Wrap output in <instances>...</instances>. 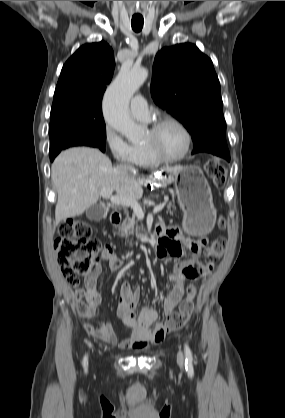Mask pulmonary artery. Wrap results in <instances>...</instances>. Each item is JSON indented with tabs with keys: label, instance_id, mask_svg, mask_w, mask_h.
Segmentation results:
<instances>
[{
	"label": "pulmonary artery",
	"instance_id": "obj_1",
	"mask_svg": "<svg viewBox=\"0 0 285 418\" xmlns=\"http://www.w3.org/2000/svg\"><path fill=\"white\" fill-rule=\"evenodd\" d=\"M131 115L139 120H147L149 117V108L145 99L141 96H135L130 102Z\"/></svg>",
	"mask_w": 285,
	"mask_h": 418
}]
</instances>
